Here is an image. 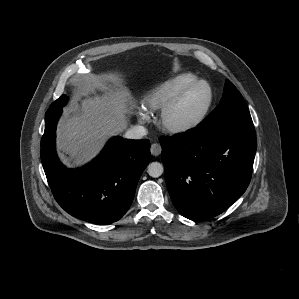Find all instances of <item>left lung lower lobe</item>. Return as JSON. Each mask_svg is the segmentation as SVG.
Masks as SVG:
<instances>
[{"mask_svg":"<svg viewBox=\"0 0 299 299\" xmlns=\"http://www.w3.org/2000/svg\"><path fill=\"white\" fill-rule=\"evenodd\" d=\"M159 140L168 191L182 216L215 217L247 189L257 148L254 130L209 132L196 127Z\"/></svg>","mask_w":299,"mask_h":299,"instance_id":"left-lung-lower-lobe-1","label":"left lung lower lobe"}]
</instances>
